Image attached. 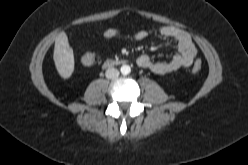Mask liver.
<instances>
[{
  "label": "liver",
  "mask_w": 248,
  "mask_h": 165,
  "mask_svg": "<svg viewBox=\"0 0 248 165\" xmlns=\"http://www.w3.org/2000/svg\"><path fill=\"white\" fill-rule=\"evenodd\" d=\"M53 59L59 75L67 79L74 71V54L69 45L65 32H61L55 39Z\"/></svg>",
  "instance_id": "6515ba94"
}]
</instances>
